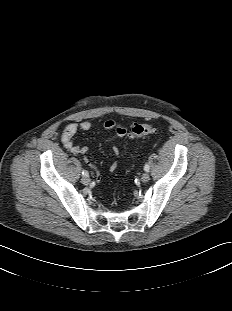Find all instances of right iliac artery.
I'll return each instance as SVG.
<instances>
[{"instance_id": "right-iliac-artery-1", "label": "right iliac artery", "mask_w": 232, "mask_h": 311, "mask_svg": "<svg viewBox=\"0 0 232 311\" xmlns=\"http://www.w3.org/2000/svg\"><path fill=\"white\" fill-rule=\"evenodd\" d=\"M82 175H83V176H88L89 173H88L86 170H83V171H82Z\"/></svg>"}]
</instances>
